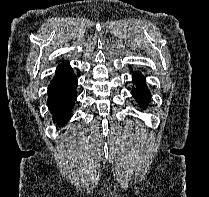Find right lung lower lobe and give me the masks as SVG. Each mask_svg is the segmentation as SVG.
<instances>
[{"label":"right lung lower lobe","instance_id":"obj_1","mask_svg":"<svg viewBox=\"0 0 209 197\" xmlns=\"http://www.w3.org/2000/svg\"><path fill=\"white\" fill-rule=\"evenodd\" d=\"M77 78L69 63H61L48 87V106L53 122L62 125L70 119L75 105Z\"/></svg>","mask_w":209,"mask_h":197}]
</instances>
